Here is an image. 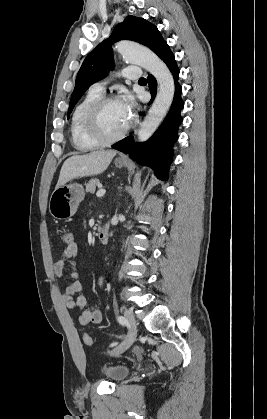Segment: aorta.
<instances>
[{
    "mask_svg": "<svg viewBox=\"0 0 267 419\" xmlns=\"http://www.w3.org/2000/svg\"><path fill=\"white\" fill-rule=\"evenodd\" d=\"M116 50L125 61L149 71L158 83L156 98L137 132L138 141H146L155 132L172 104L174 79L165 63L151 50L127 41L119 42Z\"/></svg>",
    "mask_w": 267,
    "mask_h": 419,
    "instance_id": "obj_1",
    "label": "aorta"
}]
</instances>
